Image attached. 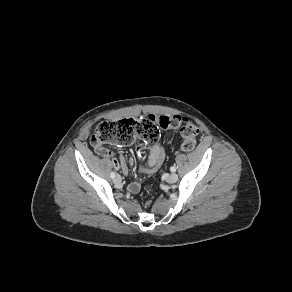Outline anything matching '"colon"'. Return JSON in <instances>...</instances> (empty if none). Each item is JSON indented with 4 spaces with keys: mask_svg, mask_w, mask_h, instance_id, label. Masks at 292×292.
Here are the masks:
<instances>
[{
    "mask_svg": "<svg viewBox=\"0 0 292 292\" xmlns=\"http://www.w3.org/2000/svg\"><path fill=\"white\" fill-rule=\"evenodd\" d=\"M160 128L178 129L183 138L181 144L183 151L189 152L195 148L199 130L192 120L180 116L156 117L154 115L142 119L125 118L118 121H103L92 135L91 144L97 152H101L105 144L126 145L137 138L156 143L160 136Z\"/></svg>",
    "mask_w": 292,
    "mask_h": 292,
    "instance_id": "5ec220e1",
    "label": "colon"
}]
</instances>
